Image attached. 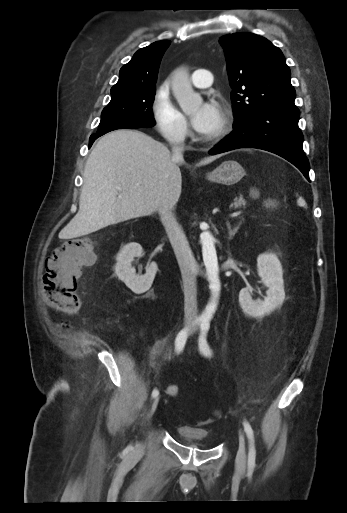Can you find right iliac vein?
I'll use <instances>...</instances> for the list:
<instances>
[{
    "instance_id": "right-iliac-vein-1",
    "label": "right iliac vein",
    "mask_w": 347,
    "mask_h": 513,
    "mask_svg": "<svg viewBox=\"0 0 347 513\" xmlns=\"http://www.w3.org/2000/svg\"><path fill=\"white\" fill-rule=\"evenodd\" d=\"M186 327H189V324H186ZM158 403H159V397H157V398L152 402V404H151V407H150V413H149V416H150V417H151V416L154 414V412L156 411V408H157V406H158ZM142 448H143V445H142V444H138V445L136 446V451H137V452H140V451L142 450Z\"/></svg>"
}]
</instances>
